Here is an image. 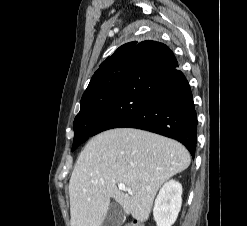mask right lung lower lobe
I'll return each instance as SVG.
<instances>
[{
    "label": "right lung lower lobe",
    "instance_id": "right-lung-lower-lobe-1",
    "mask_svg": "<svg viewBox=\"0 0 247 226\" xmlns=\"http://www.w3.org/2000/svg\"><path fill=\"white\" fill-rule=\"evenodd\" d=\"M130 127L181 142L194 158L197 119L190 85L173 52L163 43H137L119 88L91 136Z\"/></svg>",
    "mask_w": 247,
    "mask_h": 226
}]
</instances>
